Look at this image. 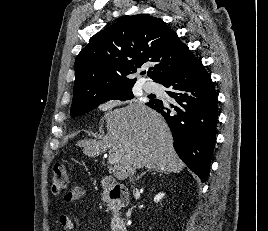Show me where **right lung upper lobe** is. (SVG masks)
<instances>
[{"label":"right lung upper lobe","instance_id":"cb5924a9","mask_svg":"<svg viewBox=\"0 0 268 231\" xmlns=\"http://www.w3.org/2000/svg\"><path fill=\"white\" fill-rule=\"evenodd\" d=\"M199 61L162 19L129 16L94 35L78 54L72 103L133 87L136 78L128 77L145 63L154 65L148 74L161 84Z\"/></svg>","mask_w":268,"mask_h":231}]
</instances>
